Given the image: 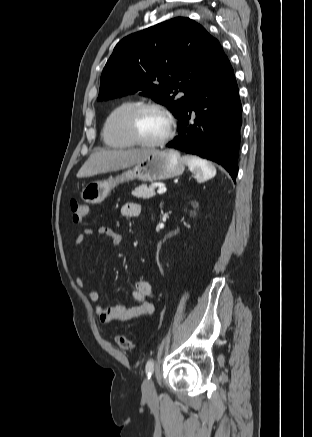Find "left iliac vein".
<instances>
[{
  "label": "left iliac vein",
  "instance_id": "obj_1",
  "mask_svg": "<svg viewBox=\"0 0 312 437\" xmlns=\"http://www.w3.org/2000/svg\"><path fill=\"white\" fill-rule=\"evenodd\" d=\"M142 392L146 398H153L156 395L155 386L152 379H148L144 382Z\"/></svg>",
  "mask_w": 312,
  "mask_h": 437
}]
</instances>
